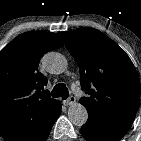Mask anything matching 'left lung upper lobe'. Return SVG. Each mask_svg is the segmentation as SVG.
<instances>
[{"label":"left lung upper lobe","mask_w":141,"mask_h":141,"mask_svg":"<svg viewBox=\"0 0 141 141\" xmlns=\"http://www.w3.org/2000/svg\"><path fill=\"white\" fill-rule=\"evenodd\" d=\"M71 55L78 61L81 85L89 98H81L89 115L131 122L140 99V82L128 55L94 28L61 32Z\"/></svg>","instance_id":"1"}]
</instances>
